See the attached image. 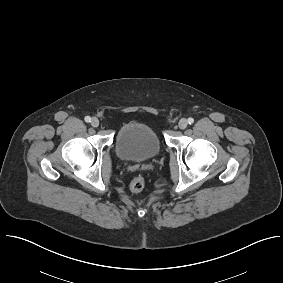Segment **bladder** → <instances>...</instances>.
<instances>
[{
	"instance_id": "31cf9c89",
	"label": "bladder",
	"mask_w": 283,
	"mask_h": 283,
	"mask_svg": "<svg viewBox=\"0 0 283 283\" xmlns=\"http://www.w3.org/2000/svg\"><path fill=\"white\" fill-rule=\"evenodd\" d=\"M161 139L156 130L145 122H132L123 127L116 138L115 153L126 162H144L159 155Z\"/></svg>"
}]
</instances>
